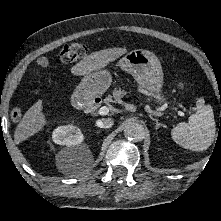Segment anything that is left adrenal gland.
Segmentation results:
<instances>
[{
  "label": "left adrenal gland",
  "mask_w": 221,
  "mask_h": 221,
  "mask_svg": "<svg viewBox=\"0 0 221 221\" xmlns=\"http://www.w3.org/2000/svg\"><path fill=\"white\" fill-rule=\"evenodd\" d=\"M149 117L152 121L156 122L155 129H158L159 127H164L165 128V125L161 124L157 119L153 118L152 115H149Z\"/></svg>",
  "instance_id": "1"
}]
</instances>
